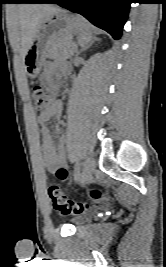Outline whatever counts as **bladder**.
<instances>
[{
    "label": "bladder",
    "instance_id": "1",
    "mask_svg": "<svg viewBox=\"0 0 166 267\" xmlns=\"http://www.w3.org/2000/svg\"><path fill=\"white\" fill-rule=\"evenodd\" d=\"M93 216H94L93 213H83L73 218L72 223L75 225L84 224L88 222L90 219H92Z\"/></svg>",
    "mask_w": 166,
    "mask_h": 267
}]
</instances>
